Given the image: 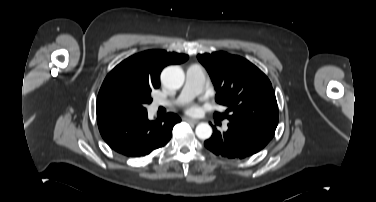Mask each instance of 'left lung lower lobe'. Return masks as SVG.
<instances>
[{"label":"left lung lower lobe","mask_w":376,"mask_h":202,"mask_svg":"<svg viewBox=\"0 0 376 202\" xmlns=\"http://www.w3.org/2000/svg\"><path fill=\"white\" fill-rule=\"evenodd\" d=\"M275 130L254 122L229 120L228 130L219 132L214 128L204 145L216 155L243 159L262 150L273 138Z\"/></svg>","instance_id":"1"}]
</instances>
